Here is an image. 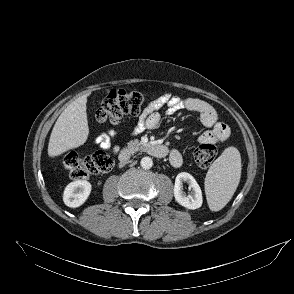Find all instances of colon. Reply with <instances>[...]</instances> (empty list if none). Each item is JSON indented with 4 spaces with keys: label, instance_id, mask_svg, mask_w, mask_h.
<instances>
[{
    "label": "colon",
    "instance_id": "obj_1",
    "mask_svg": "<svg viewBox=\"0 0 294 294\" xmlns=\"http://www.w3.org/2000/svg\"><path fill=\"white\" fill-rule=\"evenodd\" d=\"M144 98L135 91L112 90L103 99L96 111L100 122L118 123L125 115L136 116L140 113ZM217 155L216 147L211 143H202L194 151V160L201 169H207ZM64 166L73 180L87 179L89 176L105 173L112 169L111 155L102 150L91 153H68Z\"/></svg>",
    "mask_w": 294,
    "mask_h": 294
}]
</instances>
